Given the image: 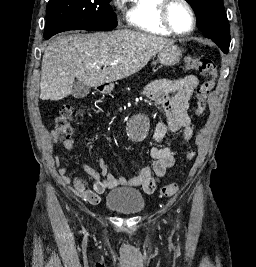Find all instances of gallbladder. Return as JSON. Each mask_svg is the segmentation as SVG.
<instances>
[{
	"label": "gallbladder",
	"mask_w": 256,
	"mask_h": 267,
	"mask_svg": "<svg viewBox=\"0 0 256 267\" xmlns=\"http://www.w3.org/2000/svg\"><path fill=\"white\" fill-rule=\"evenodd\" d=\"M87 94H90V86H85L82 82H74L72 88V96L74 98H85Z\"/></svg>",
	"instance_id": "obj_1"
}]
</instances>
